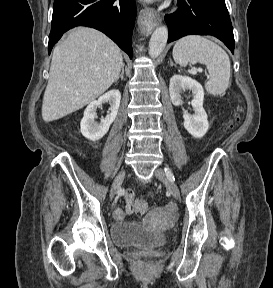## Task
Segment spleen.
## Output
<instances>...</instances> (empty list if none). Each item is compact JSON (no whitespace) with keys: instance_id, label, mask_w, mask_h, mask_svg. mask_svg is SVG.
I'll list each match as a JSON object with an SVG mask.
<instances>
[{"instance_id":"spleen-1","label":"spleen","mask_w":273,"mask_h":288,"mask_svg":"<svg viewBox=\"0 0 273 288\" xmlns=\"http://www.w3.org/2000/svg\"><path fill=\"white\" fill-rule=\"evenodd\" d=\"M173 59L181 67L198 62L206 65L209 79L205 89L209 94L221 95L228 88L231 70L229 56L213 41L200 35L183 37L174 45Z\"/></svg>"}]
</instances>
